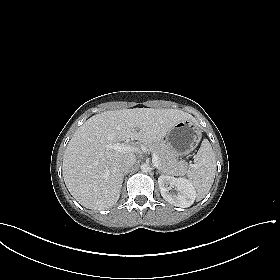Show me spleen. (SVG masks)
I'll use <instances>...</instances> for the list:
<instances>
[{
  "label": "spleen",
  "mask_w": 280,
  "mask_h": 280,
  "mask_svg": "<svg viewBox=\"0 0 280 280\" xmlns=\"http://www.w3.org/2000/svg\"><path fill=\"white\" fill-rule=\"evenodd\" d=\"M215 173V154L208 139H204L194 156V164L187 171L188 180L196 190L197 200L207 195L214 182Z\"/></svg>",
  "instance_id": "1"
}]
</instances>
